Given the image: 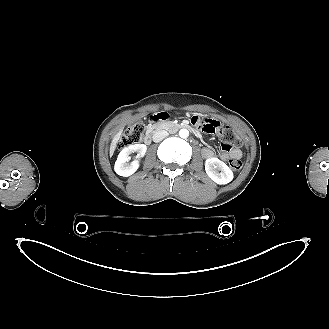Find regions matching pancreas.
<instances>
[{
    "label": "pancreas",
    "mask_w": 329,
    "mask_h": 329,
    "mask_svg": "<svg viewBox=\"0 0 329 329\" xmlns=\"http://www.w3.org/2000/svg\"><path fill=\"white\" fill-rule=\"evenodd\" d=\"M174 127H176V125L174 123H167L164 125V129H167V130L172 129Z\"/></svg>",
    "instance_id": "1"
}]
</instances>
